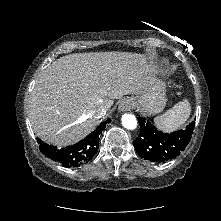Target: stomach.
<instances>
[{"mask_svg":"<svg viewBox=\"0 0 221 221\" xmlns=\"http://www.w3.org/2000/svg\"><path fill=\"white\" fill-rule=\"evenodd\" d=\"M140 110L147 115L160 113L166 104L165 84L161 81L153 83L142 96L137 97Z\"/></svg>","mask_w":221,"mask_h":221,"instance_id":"0dacf381","label":"stomach"}]
</instances>
